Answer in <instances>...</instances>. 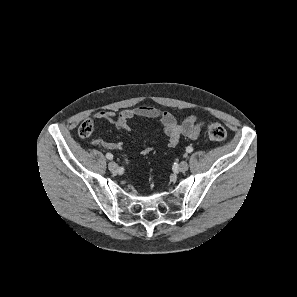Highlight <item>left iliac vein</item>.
I'll list each match as a JSON object with an SVG mask.
<instances>
[{"instance_id":"4c4485c4","label":"left iliac vein","mask_w":297,"mask_h":297,"mask_svg":"<svg viewBox=\"0 0 297 297\" xmlns=\"http://www.w3.org/2000/svg\"><path fill=\"white\" fill-rule=\"evenodd\" d=\"M188 167H189V165H188L187 161H182L179 164V171L186 172L188 170Z\"/></svg>"}]
</instances>
